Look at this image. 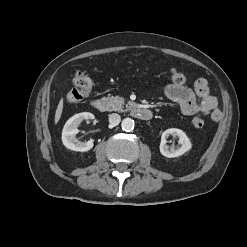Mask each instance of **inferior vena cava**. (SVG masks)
Wrapping results in <instances>:
<instances>
[{
	"label": "inferior vena cava",
	"mask_w": 247,
	"mask_h": 247,
	"mask_svg": "<svg viewBox=\"0 0 247 247\" xmlns=\"http://www.w3.org/2000/svg\"><path fill=\"white\" fill-rule=\"evenodd\" d=\"M121 121V117L119 114L117 113H112L109 115V123L112 125V126H117Z\"/></svg>",
	"instance_id": "obj_1"
}]
</instances>
